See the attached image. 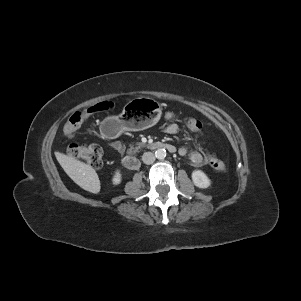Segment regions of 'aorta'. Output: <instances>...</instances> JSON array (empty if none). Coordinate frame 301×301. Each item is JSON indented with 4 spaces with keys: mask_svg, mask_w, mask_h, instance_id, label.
<instances>
[{
    "mask_svg": "<svg viewBox=\"0 0 301 301\" xmlns=\"http://www.w3.org/2000/svg\"><path fill=\"white\" fill-rule=\"evenodd\" d=\"M155 157L157 159H164L166 157V150L163 148H159L155 151Z\"/></svg>",
    "mask_w": 301,
    "mask_h": 301,
    "instance_id": "762f6f07",
    "label": "aorta"
}]
</instances>
